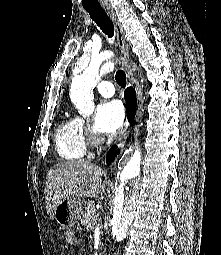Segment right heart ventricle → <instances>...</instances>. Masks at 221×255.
<instances>
[{"label":"right heart ventricle","mask_w":221,"mask_h":255,"mask_svg":"<svg viewBox=\"0 0 221 255\" xmlns=\"http://www.w3.org/2000/svg\"><path fill=\"white\" fill-rule=\"evenodd\" d=\"M55 145L63 159H82L87 153V139L82 120L77 117H65L56 130Z\"/></svg>","instance_id":"e07e8e85"}]
</instances>
